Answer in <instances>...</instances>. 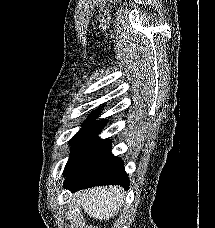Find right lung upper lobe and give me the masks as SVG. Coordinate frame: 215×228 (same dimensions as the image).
<instances>
[{
	"instance_id": "cb5924a9",
	"label": "right lung upper lobe",
	"mask_w": 215,
	"mask_h": 228,
	"mask_svg": "<svg viewBox=\"0 0 215 228\" xmlns=\"http://www.w3.org/2000/svg\"><path fill=\"white\" fill-rule=\"evenodd\" d=\"M100 114V109L95 110L86 120V124H91V123H99V122H105L104 120L102 121H95L94 119L96 118L97 115ZM85 124V125H86Z\"/></svg>"
}]
</instances>
